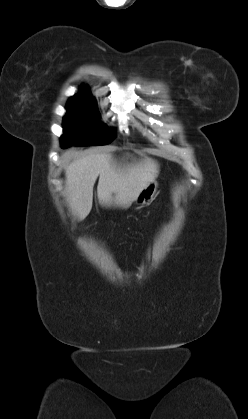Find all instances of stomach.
<instances>
[{"mask_svg": "<svg viewBox=\"0 0 248 419\" xmlns=\"http://www.w3.org/2000/svg\"><path fill=\"white\" fill-rule=\"evenodd\" d=\"M157 182L154 180L146 188H144L140 194L137 196L135 203L138 205H145L150 203L156 194L157 191Z\"/></svg>", "mask_w": 248, "mask_h": 419, "instance_id": "obj_1", "label": "stomach"}]
</instances>
